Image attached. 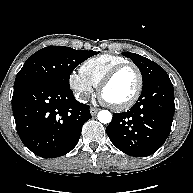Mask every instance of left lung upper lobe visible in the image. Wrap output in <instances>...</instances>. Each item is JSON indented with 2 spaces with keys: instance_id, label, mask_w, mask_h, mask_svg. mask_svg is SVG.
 <instances>
[{
  "instance_id": "left-lung-upper-lobe-1",
  "label": "left lung upper lobe",
  "mask_w": 193,
  "mask_h": 193,
  "mask_svg": "<svg viewBox=\"0 0 193 193\" xmlns=\"http://www.w3.org/2000/svg\"><path fill=\"white\" fill-rule=\"evenodd\" d=\"M124 56L129 57L140 69L143 78V88L150 84L158 76L166 72L157 63L135 53L124 52Z\"/></svg>"
}]
</instances>
